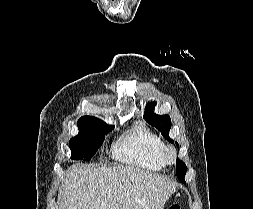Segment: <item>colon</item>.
Returning a JSON list of instances; mask_svg holds the SVG:
<instances>
[{"instance_id":"colon-1","label":"colon","mask_w":253,"mask_h":209,"mask_svg":"<svg viewBox=\"0 0 253 209\" xmlns=\"http://www.w3.org/2000/svg\"><path fill=\"white\" fill-rule=\"evenodd\" d=\"M167 209H181L180 206L178 204H171L169 205V207Z\"/></svg>"}]
</instances>
